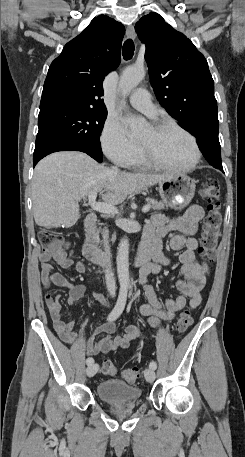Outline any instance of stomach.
<instances>
[{
	"mask_svg": "<svg viewBox=\"0 0 245 457\" xmlns=\"http://www.w3.org/2000/svg\"><path fill=\"white\" fill-rule=\"evenodd\" d=\"M195 180L185 174H178L159 182V192L166 204L172 208H184L191 202L195 192Z\"/></svg>",
	"mask_w": 245,
	"mask_h": 457,
	"instance_id": "obj_1",
	"label": "stomach"
}]
</instances>
